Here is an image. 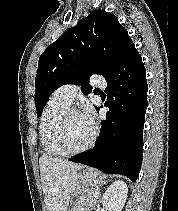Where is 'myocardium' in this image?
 I'll return each instance as SVG.
<instances>
[{
	"label": "myocardium",
	"mask_w": 178,
	"mask_h": 211,
	"mask_svg": "<svg viewBox=\"0 0 178 211\" xmlns=\"http://www.w3.org/2000/svg\"><path fill=\"white\" fill-rule=\"evenodd\" d=\"M74 113H78V111L76 109H68L63 114L62 120H61L60 131L58 134V145L64 155H76V154H80L89 150L95 144L97 134H98L97 127H94L92 137L86 145L76 150L70 149L67 145V127H68L69 117Z\"/></svg>",
	"instance_id": "myocardium-1"
}]
</instances>
